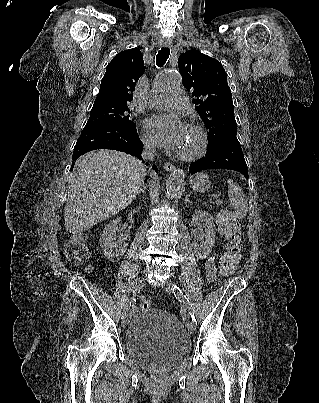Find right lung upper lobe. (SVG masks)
Wrapping results in <instances>:
<instances>
[{"label": "right lung upper lobe", "instance_id": "right-lung-upper-lobe-1", "mask_svg": "<svg viewBox=\"0 0 319 403\" xmlns=\"http://www.w3.org/2000/svg\"><path fill=\"white\" fill-rule=\"evenodd\" d=\"M145 66L139 48L117 54L107 65L95 102L129 105L137 80L144 73Z\"/></svg>", "mask_w": 319, "mask_h": 403}]
</instances>
